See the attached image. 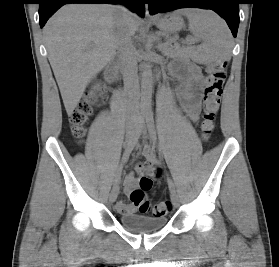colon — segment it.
<instances>
[{"instance_id": "obj_1", "label": "colon", "mask_w": 279, "mask_h": 267, "mask_svg": "<svg viewBox=\"0 0 279 267\" xmlns=\"http://www.w3.org/2000/svg\"><path fill=\"white\" fill-rule=\"evenodd\" d=\"M227 62L217 60L206 68V83L203 95V114L201 121V134L207 139L213 128L214 121L220 108L223 85L226 79ZM106 100V91L101 87L96 94L81 101L70 116L71 129L75 138L82 139L85 135V124L94 113L95 109ZM143 173L140 177V187L132 191L130 198L141 213L150 209L155 216H164L170 212L172 205L168 200L160 201L151 206L146 192L151 188L158 172L148 165L142 166Z\"/></svg>"}]
</instances>
